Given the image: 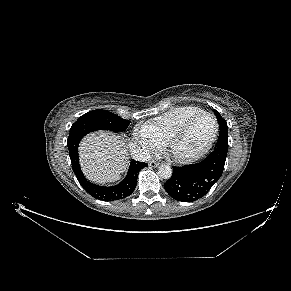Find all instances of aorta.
I'll return each instance as SVG.
<instances>
[{"label":"aorta","instance_id":"762f6f07","mask_svg":"<svg viewBox=\"0 0 291 291\" xmlns=\"http://www.w3.org/2000/svg\"><path fill=\"white\" fill-rule=\"evenodd\" d=\"M158 174L163 179H169L172 176V169L169 165H161Z\"/></svg>","mask_w":291,"mask_h":291}]
</instances>
